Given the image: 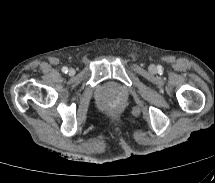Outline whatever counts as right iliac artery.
<instances>
[{
	"label": "right iliac artery",
	"mask_w": 215,
	"mask_h": 183,
	"mask_svg": "<svg viewBox=\"0 0 215 183\" xmlns=\"http://www.w3.org/2000/svg\"><path fill=\"white\" fill-rule=\"evenodd\" d=\"M62 71H63L64 73H67V72H68V68H67V67H63V68H62Z\"/></svg>",
	"instance_id": "obj_1"
}]
</instances>
